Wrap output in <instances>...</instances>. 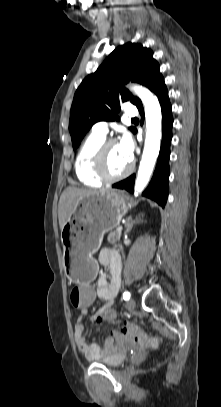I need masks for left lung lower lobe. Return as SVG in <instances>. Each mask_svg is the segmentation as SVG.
I'll list each match as a JSON object with an SVG mask.
<instances>
[{"label":"left lung lower lobe","instance_id":"1","mask_svg":"<svg viewBox=\"0 0 221 407\" xmlns=\"http://www.w3.org/2000/svg\"><path fill=\"white\" fill-rule=\"evenodd\" d=\"M153 92L157 95L162 109V144L160 148V153L156 165L153 178L143 192V196L155 200L160 206L164 207L168 196V178H169V157H170V142L172 139V125L173 118L171 113V104L169 102L168 91L162 78L155 86ZM142 119L141 123L144 121V110L143 106L138 108ZM134 179L135 175L128 177L127 179L115 183L112 185L113 188L125 189L127 191L133 192L134 190Z\"/></svg>","mask_w":221,"mask_h":407}]
</instances>
